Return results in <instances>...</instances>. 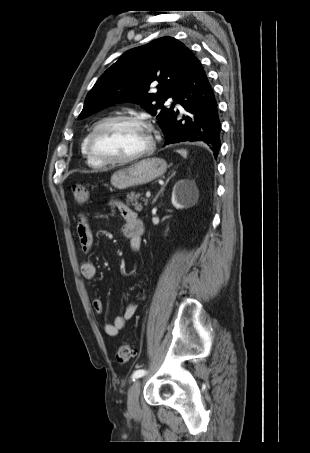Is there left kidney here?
<instances>
[{
    "instance_id": "1",
    "label": "left kidney",
    "mask_w": 310,
    "mask_h": 453,
    "mask_svg": "<svg viewBox=\"0 0 310 453\" xmlns=\"http://www.w3.org/2000/svg\"><path fill=\"white\" fill-rule=\"evenodd\" d=\"M196 190L189 185H186L184 181H179L172 193L171 203L176 209H182L187 204L192 202Z\"/></svg>"
}]
</instances>
